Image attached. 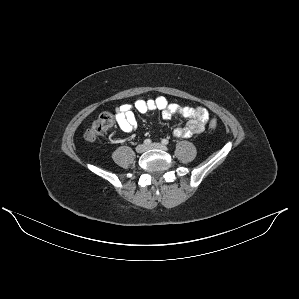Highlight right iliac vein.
<instances>
[{"label": "right iliac vein", "instance_id": "63e3f726", "mask_svg": "<svg viewBox=\"0 0 299 299\" xmlns=\"http://www.w3.org/2000/svg\"><path fill=\"white\" fill-rule=\"evenodd\" d=\"M146 146L144 144H139L137 147H136V152L137 153H143L146 151Z\"/></svg>", "mask_w": 299, "mask_h": 299}]
</instances>
